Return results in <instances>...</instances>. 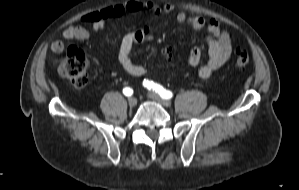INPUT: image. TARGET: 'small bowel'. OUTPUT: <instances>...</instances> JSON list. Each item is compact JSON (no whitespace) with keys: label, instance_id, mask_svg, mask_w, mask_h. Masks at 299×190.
Returning a JSON list of instances; mask_svg holds the SVG:
<instances>
[{"label":"small bowel","instance_id":"c3829d8e","mask_svg":"<svg viewBox=\"0 0 299 190\" xmlns=\"http://www.w3.org/2000/svg\"><path fill=\"white\" fill-rule=\"evenodd\" d=\"M142 12L155 16L161 13L167 15L175 13V18L178 22L186 23L195 30H206L205 43L208 47V59L199 68L198 73L201 78H209L230 59L233 50L231 36L220 27L215 19L206 20L200 15H188L184 11H176L173 4L168 3L161 7L152 1H131L87 12L83 15L82 21L89 25L90 28L84 26L68 27L62 33V39L52 43L51 50L53 53H61L65 49V41L88 39L92 31H102L107 20L122 17L127 13L138 14ZM150 38L151 32L148 26L139 27L123 37L119 48L118 60L123 69L130 75L140 77L146 73V68L135 64L130 55L137 44ZM201 59V48L198 46L193 47L189 53L188 64L191 67H196L200 64Z\"/></svg>","mask_w":299,"mask_h":190}]
</instances>
